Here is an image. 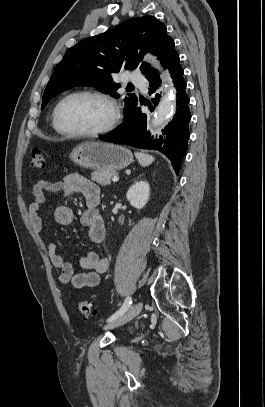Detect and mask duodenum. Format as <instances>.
Masks as SVG:
<instances>
[{"label": "duodenum", "instance_id": "410a0bca", "mask_svg": "<svg viewBox=\"0 0 265 407\" xmlns=\"http://www.w3.org/2000/svg\"><path fill=\"white\" fill-rule=\"evenodd\" d=\"M99 203H100V199H96V200H94V201L92 202V205H93L94 207H97V206L99 205Z\"/></svg>", "mask_w": 265, "mask_h": 407}]
</instances>
